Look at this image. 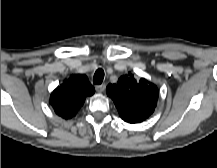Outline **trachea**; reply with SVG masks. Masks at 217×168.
I'll return each instance as SVG.
<instances>
[{"mask_svg": "<svg viewBox=\"0 0 217 168\" xmlns=\"http://www.w3.org/2000/svg\"><path fill=\"white\" fill-rule=\"evenodd\" d=\"M103 79H104V71L103 69L99 68L96 70L94 74L93 83L99 85L102 83Z\"/></svg>", "mask_w": 217, "mask_h": 168, "instance_id": "3493384b", "label": "trachea"}]
</instances>
